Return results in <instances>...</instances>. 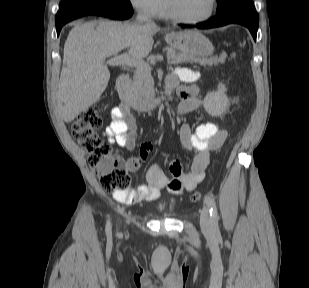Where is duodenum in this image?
I'll return each mask as SVG.
<instances>
[{"instance_id":"obj_1","label":"duodenum","mask_w":309,"mask_h":288,"mask_svg":"<svg viewBox=\"0 0 309 288\" xmlns=\"http://www.w3.org/2000/svg\"><path fill=\"white\" fill-rule=\"evenodd\" d=\"M116 89L123 105L129 107L137 104L141 109L144 110H152L157 108L163 103L171 90V88L166 86L164 96L149 98L137 103L129 87V77L125 74H121L118 76L116 80Z\"/></svg>"}]
</instances>
